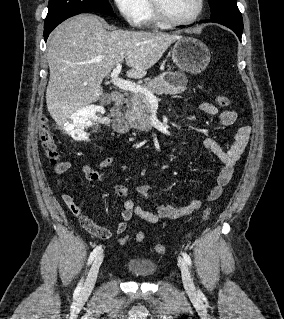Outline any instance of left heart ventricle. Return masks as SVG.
<instances>
[{
    "label": "left heart ventricle",
    "mask_w": 284,
    "mask_h": 319,
    "mask_svg": "<svg viewBox=\"0 0 284 319\" xmlns=\"http://www.w3.org/2000/svg\"><path fill=\"white\" fill-rule=\"evenodd\" d=\"M166 12L177 19H186L194 15L198 0H161Z\"/></svg>",
    "instance_id": "b2bd125f"
}]
</instances>
